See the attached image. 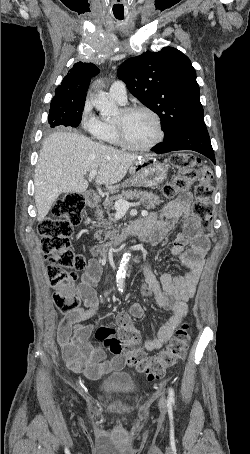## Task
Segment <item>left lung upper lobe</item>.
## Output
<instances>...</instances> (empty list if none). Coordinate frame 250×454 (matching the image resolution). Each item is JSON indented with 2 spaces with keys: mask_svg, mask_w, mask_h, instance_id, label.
I'll return each mask as SVG.
<instances>
[{
  "mask_svg": "<svg viewBox=\"0 0 250 454\" xmlns=\"http://www.w3.org/2000/svg\"><path fill=\"white\" fill-rule=\"evenodd\" d=\"M118 76L130 92L161 119L164 142L204 123L196 72L181 51L165 47L126 60Z\"/></svg>",
  "mask_w": 250,
  "mask_h": 454,
  "instance_id": "left-lung-upper-lobe-1",
  "label": "left lung upper lobe"
}]
</instances>
